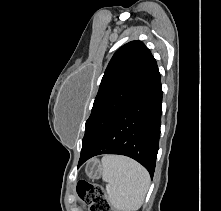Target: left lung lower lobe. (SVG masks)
Returning a JSON list of instances; mask_svg holds the SVG:
<instances>
[{
	"label": "left lung lower lobe",
	"instance_id": "left-lung-lower-lobe-1",
	"mask_svg": "<svg viewBox=\"0 0 221 211\" xmlns=\"http://www.w3.org/2000/svg\"><path fill=\"white\" fill-rule=\"evenodd\" d=\"M162 87L157 64L137 95L123 108L78 167L93 156L120 154L131 157L154 175L160 137Z\"/></svg>",
	"mask_w": 221,
	"mask_h": 211
}]
</instances>
